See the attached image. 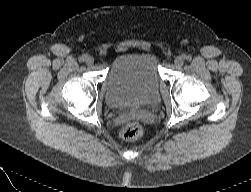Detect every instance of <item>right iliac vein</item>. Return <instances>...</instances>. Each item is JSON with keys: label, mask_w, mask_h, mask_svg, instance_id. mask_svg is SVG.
<instances>
[{"label": "right iliac vein", "mask_w": 251, "mask_h": 192, "mask_svg": "<svg viewBox=\"0 0 251 192\" xmlns=\"http://www.w3.org/2000/svg\"><path fill=\"white\" fill-rule=\"evenodd\" d=\"M85 62H86L88 65H92V64L94 63V58L91 57V56H88V57H86Z\"/></svg>", "instance_id": "right-iliac-vein-1"}]
</instances>
